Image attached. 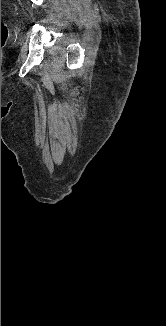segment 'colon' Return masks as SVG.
I'll list each match as a JSON object with an SVG mask.
<instances>
[{
    "label": "colon",
    "instance_id": "obj_1",
    "mask_svg": "<svg viewBox=\"0 0 166 326\" xmlns=\"http://www.w3.org/2000/svg\"><path fill=\"white\" fill-rule=\"evenodd\" d=\"M8 39V28L6 24L1 21V58H2V49L5 46Z\"/></svg>",
    "mask_w": 166,
    "mask_h": 326
}]
</instances>
